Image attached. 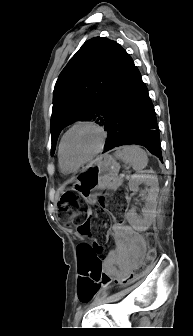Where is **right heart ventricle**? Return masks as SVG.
Returning <instances> with one entry per match:
<instances>
[{
    "instance_id": "e07e8e85",
    "label": "right heart ventricle",
    "mask_w": 193,
    "mask_h": 336,
    "mask_svg": "<svg viewBox=\"0 0 193 336\" xmlns=\"http://www.w3.org/2000/svg\"><path fill=\"white\" fill-rule=\"evenodd\" d=\"M58 159H59V166H60V169L61 171L64 173V174H70V173H74L77 171V169L79 167H71L69 165H67L61 158L60 154H58Z\"/></svg>"
}]
</instances>
